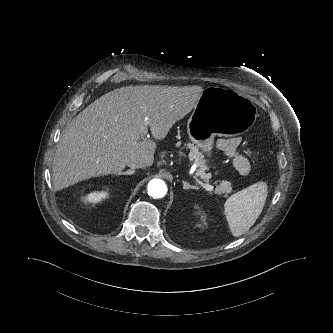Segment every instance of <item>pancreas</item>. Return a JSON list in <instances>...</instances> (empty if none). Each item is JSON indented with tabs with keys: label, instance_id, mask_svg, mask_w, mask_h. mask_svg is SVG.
<instances>
[{
	"label": "pancreas",
	"instance_id": "1",
	"mask_svg": "<svg viewBox=\"0 0 333 333\" xmlns=\"http://www.w3.org/2000/svg\"><path fill=\"white\" fill-rule=\"evenodd\" d=\"M187 148L190 149L189 157L191 160L197 162L198 169L196 171V174L204 179L206 182H208L210 178V174L206 173L208 170V166L205 164L207 160H205L204 155L198 151V147L194 146L193 144H187ZM232 191L231 183L228 181H222L217 187H216V193L217 194H228Z\"/></svg>",
	"mask_w": 333,
	"mask_h": 333
}]
</instances>
